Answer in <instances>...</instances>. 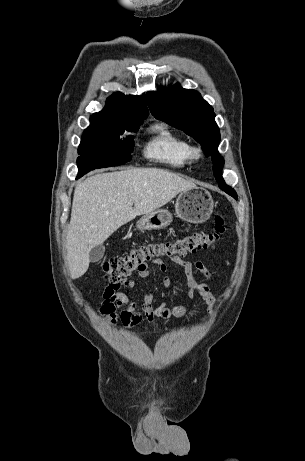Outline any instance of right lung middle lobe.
Segmentation results:
<instances>
[{
	"instance_id": "1",
	"label": "right lung middle lobe",
	"mask_w": 305,
	"mask_h": 461,
	"mask_svg": "<svg viewBox=\"0 0 305 461\" xmlns=\"http://www.w3.org/2000/svg\"><path fill=\"white\" fill-rule=\"evenodd\" d=\"M90 126L83 132L78 148L77 166L85 174L96 168L117 166L128 162L134 140L120 139L124 132H137L143 121L120 122L90 118Z\"/></svg>"
}]
</instances>
